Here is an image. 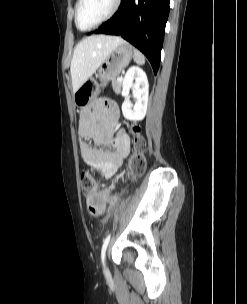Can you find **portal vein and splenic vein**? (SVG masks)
Segmentation results:
<instances>
[{
	"label": "portal vein and splenic vein",
	"mask_w": 247,
	"mask_h": 304,
	"mask_svg": "<svg viewBox=\"0 0 247 304\" xmlns=\"http://www.w3.org/2000/svg\"><path fill=\"white\" fill-rule=\"evenodd\" d=\"M122 79H123L122 77H119L117 80H118V81H122Z\"/></svg>",
	"instance_id": "portal-vein-and-splenic-vein-1"
}]
</instances>
